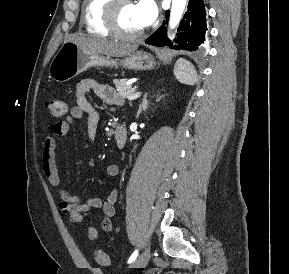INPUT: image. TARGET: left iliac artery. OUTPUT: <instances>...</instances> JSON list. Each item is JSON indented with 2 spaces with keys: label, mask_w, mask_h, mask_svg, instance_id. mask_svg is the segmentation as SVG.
I'll return each mask as SVG.
<instances>
[{
  "label": "left iliac artery",
  "mask_w": 289,
  "mask_h": 274,
  "mask_svg": "<svg viewBox=\"0 0 289 274\" xmlns=\"http://www.w3.org/2000/svg\"><path fill=\"white\" fill-rule=\"evenodd\" d=\"M138 256V250H135L133 254L130 256L128 263H132Z\"/></svg>",
  "instance_id": "left-iliac-artery-1"
}]
</instances>
